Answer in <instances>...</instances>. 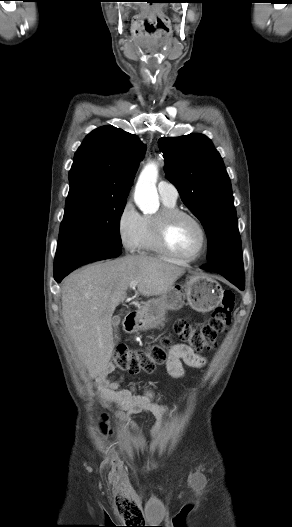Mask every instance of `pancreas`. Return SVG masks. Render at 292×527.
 <instances>
[{
  "mask_svg": "<svg viewBox=\"0 0 292 527\" xmlns=\"http://www.w3.org/2000/svg\"><path fill=\"white\" fill-rule=\"evenodd\" d=\"M160 324H161V326H163V325H164V324H163V322H160Z\"/></svg>",
  "mask_w": 292,
  "mask_h": 527,
  "instance_id": "1",
  "label": "pancreas"
}]
</instances>
